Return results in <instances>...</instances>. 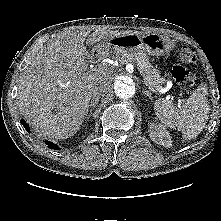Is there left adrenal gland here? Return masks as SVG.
Segmentation results:
<instances>
[{
	"mask_svg": "<svg viewBox=\"0 0 221 221\" xmlns=\"http://www.w3.org/2000/svg\"><path fill=\"white\" fill-rule=\"evenodd\" d=\"M142 93H143L144 95L148 96L149 99L153 100L151 92H150L149 90H146V88L143 89Z\"/></svg>",
	"mask_w": 221,
	"mask_h": 221,
	"instance_id": "a2214340",
	"label": "left adrenal gland"
}]
</instances>
